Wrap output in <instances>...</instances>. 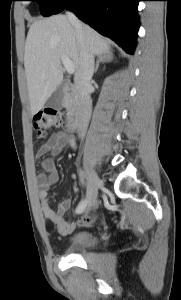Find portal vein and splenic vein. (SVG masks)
<instances>
[{
  "instance_id": "portal-vein-and-splenic-vein-1",
  "label": "portal vein and splenic vein",
  "mask_w": 181,
  "mask_h": 300,
  "mask_svg": "<svg viewBox=\"0 0 181 300\" xmlns=\"http://www.w3.org/2000/svg\"><path fill=\"white\" fill-rule=\"evenodd\" d=\"M61 61H62L63 65H64L67 73L68 74H73L74 71H75V67H74L72 61L69 58L65 57V56L61 57Z\"/></svg>"
}]
</instances>
